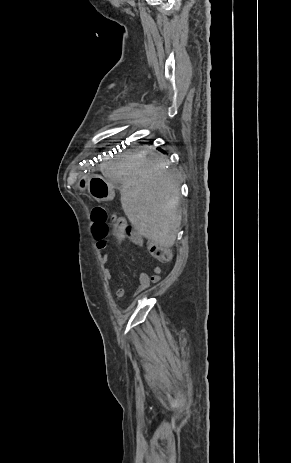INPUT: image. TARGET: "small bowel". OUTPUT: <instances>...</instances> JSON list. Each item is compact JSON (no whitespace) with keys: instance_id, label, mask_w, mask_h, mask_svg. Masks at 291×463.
Listing matches in <instances>:
<instances>
[{"instance_id":"c3829d8e","label":"small bowel","mask_w":291,"mask_h":463,"mask_svg":"<svg viewBox=\"0 0 291 463\" xmlns=\"http://www.w3.org/2000/svg\"><path fill=\"white\" fill-rule=\"evenodd\" d=\"M129 240L136 244L137 246L139 247H142L143 246V240L141 238V236L137 233H133L131 235V237L129 238ZM107 248V245L104 249ZM101 260L103 263L107 264L110 262V257L107 255V254H103L102 257H101ZM161 266L160 265H156L154 267V270H153V273L152 274H148L147 272H144L142 271L140 274H139V286H138V289H137V292H142L144 291L145 289H147L151 284H154V283H157L160 281V274H161ZM113 269L112 268H106L105 271H104V276L106 279H111L113 277ZM114 294L116 296V298L118 300H122L125 296H126V289L124 287H119L117 289L114 290Z\"/></svg>"}]
</instances>
